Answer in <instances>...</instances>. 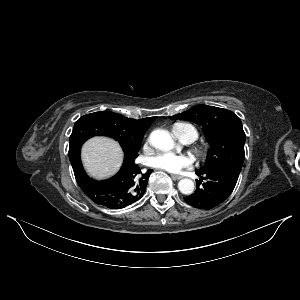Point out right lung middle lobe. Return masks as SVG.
<instances>
[{
    "instance_id": "right-lung-middle-lobe-1",
    "label": "right lung middle lobe",
    "mask_w": 300,
    "mask_h": 300,
    "mask_svg": "<svg viewBox=\"0 0 300 300\" xmlns=\"http://www.w3.org/2000/svg\"><path fill=\"white\" fill-rule=\"evenodd\" d=\"M112 125L105 120L99 112L91 113L79 118L74 125L69 139V159L74 160L80 155L82 144L96 135H104L114 138L121 144L125 156L135 159L141 146L142 138L136 140H124L112 130Z\"/></svg>"
}]
</instances>
